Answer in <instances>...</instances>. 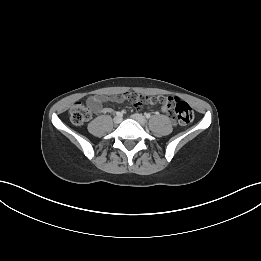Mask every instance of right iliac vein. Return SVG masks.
Here are the masks:
<instances>
[{
  "label": "right iliac vein",
  "mask_w": 261,
  "mask_h": 261,
  "mask_svg": "<svg viewBox=\"0 0 261 261\" xmlns=\"http://www.w3.org/2000/svg\"><path fill=\"white\" fill-rule=\"evenodd\" d=\"M115 124H119L122 121V116H115L113 119Z\"/></svg>",
  "instance_id": "right-iliac-vein-1"
}]
</instances>
